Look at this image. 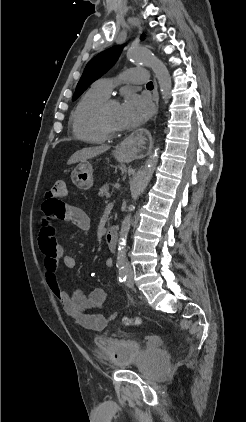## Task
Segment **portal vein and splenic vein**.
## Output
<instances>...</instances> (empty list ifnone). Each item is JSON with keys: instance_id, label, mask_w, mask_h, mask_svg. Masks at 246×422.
Instances as JSON below:
<instances>
[{"instance_id": "portal-vein-and-splenic-vein-1", "label": "portal vein and splenic vein", "mask_w": 246, "mask_h": 422, "mask_svg": "<svg viewBox=\"0 0 246 422\" xmlns=\"http://www.w3.org/2000/svg\"><path fill=\"white\" fill-rule=\"evenodd\" d=\"M106 197H107V198H109V197H110V194H109V193H107V194H106Z\"/></svg>"}]
</instances>
